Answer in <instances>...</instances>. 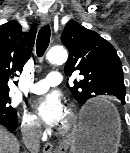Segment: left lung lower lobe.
Here are the masks:
<instances>
[{
  "label": "left lung lower lobe",
  "mask_w": 130,
  "mask_h": 153,
  "mask_svg": "<svg viewBox=\"0 0 130 153\" xmlns=\"http://www.w3.org/2000/svg\"><path fill=\"white\" fill-rule=\"evenodd\" d=\"M122 101V104H125V100H121ZM108 112V110H96V109H88L85 114H84V118L86 120H91L93 119L94 117L100 115V114H104Z\"/></svg>",
  "instance_id": "obj_1"
}]
</instances>
